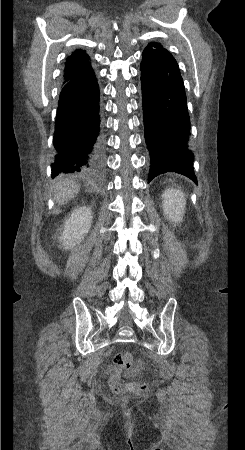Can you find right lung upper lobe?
I'll use <instances>...</instances> for the list:
<instances>
[{
	"label": "right lung upper lobe",
	"instance_id": "1",
	"mask_svg": "<svg viewBox=\"0 0 245 450\" xmlns=\"http://www.w3.org/2000/svg\"><path fill=\"white\" fill-rule=\"evenodd\" d=\"M89 68V56L85 53V51L75 50V52L67 58V65L63 75V84Z\"/></svg>",
	"mask_w": 245,
	"mask_h": 450
}]
</instances>
